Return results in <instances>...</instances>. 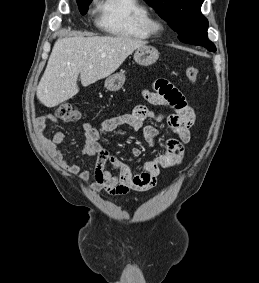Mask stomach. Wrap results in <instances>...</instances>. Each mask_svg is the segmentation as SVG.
<instances>
[{
    "label": "stomach",
    "mask_w": 259,
    "mask_h": 283,
    "mask_svg": "<svg viewBox=\"0 0 259 283\" xmlns=\"http://www.w3.org/2000/svg\"><path fill=\"white\" fill-rule=\"evenodd\" d=\"M133 57L137 64L149 66L157 61L159 52L153 46L144 45L136 49ZM124 82L125 74L119 72L107 77L104 86L108 91H118L123 86Z\"/></svg>",
    "instance_id": "obj_1"
}]
</instances>
